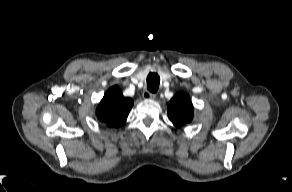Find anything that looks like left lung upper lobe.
Here are the masks:
<instances>
[{
	"label": "left lung upper lobe",
	"mask_w": 292,
	"mask_h": 192,
	"mask_svg": "<svg viewBox=\"0 0 292 192\" xmlns=\"http://www.w3.org/2000/svg\"><path fill=\"white\" fill-rule=\"evenodd\" d=\"M168 117L176 127H182L193 119V105L190 97L179 92L168 103Z\"/></svg>",
	"instance_id": "left-lung-upper-lobe-1"
}]
</instances>
